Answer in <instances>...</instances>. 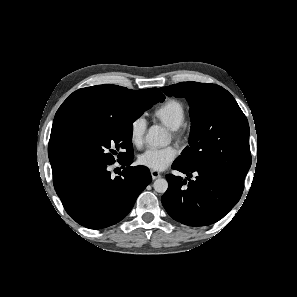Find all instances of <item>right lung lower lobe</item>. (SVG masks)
Segmentation results:
<instances>
[{
  "mask_svg": "<svg viewBox=\"0 0 297 297\" xmlns=\"http://www.w3.org/2000/svg\"><path fill=\"white\" fill-rule=\"evenodd\" d=\"M123 171L111 177L110 165L91 164L69 171L54 183L66 212L80 225L101 229L121 221L152 178L145 166L131 167L133 156L121 159Z\"/></svg>",
  "mask_w": 297,
  "mask_h": 297,
  "instance_id": "98d812e1",
  "label": "right lung lower lobe"
}]
</instances>
